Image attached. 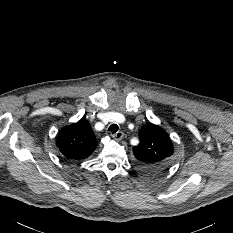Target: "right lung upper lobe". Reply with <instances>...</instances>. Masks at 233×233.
<instances>
[{"instance_id":"obj_1","label":"right lung upper lobe","mask_w":233,"mask_h":233,"mask_svg":"<svg viewBox=\"0 0 233 233\" xmlns=\"http://www.w3.org/2000/svg\"><path fill=\"white\" fill-rule=\"evenodd\" d=\"M97 145L96 137L86 120L64 127L57 137V147L63 156L70 160L87 158Z\"/></svg>"}]
</instances>
